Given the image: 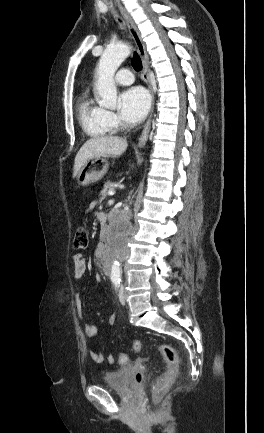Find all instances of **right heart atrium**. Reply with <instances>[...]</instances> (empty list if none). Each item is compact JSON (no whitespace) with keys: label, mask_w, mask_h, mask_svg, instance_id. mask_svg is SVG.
I'll use <instances>...</instances> for the list:
<instances>
[{"label":"right heart atrium","mask_w":264,"mask_h":433,"mask_svg":"<svg viewBox=\"0 0 264 433\" xmlns=\"http://www.w3.org/2000/svg\"><path fill=\"white\" fill-rule=\"evenodd\" d=\"M107 118H108V121L110 122V124L113 127H116V126L119 125V119H118V117L116 116L115 113L107 111Z\"/></svg>","instance_id":"d8ad5b80"}]
</instances>
